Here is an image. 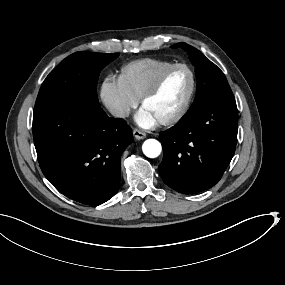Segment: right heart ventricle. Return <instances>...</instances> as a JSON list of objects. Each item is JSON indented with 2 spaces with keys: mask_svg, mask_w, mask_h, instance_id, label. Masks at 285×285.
<instances>
[{
  "mask_svg": "<svg viewBox=\"0 0 285 285\" xmlns=\"http://www.w3.org/2000/svg\"><path fill=\"white\" fill-rule=\"evenodd\" d=\"M134 76L132 82V92L139 98L141 95L151 88L160 76L172 68V65L153 58H145L133 64Z\"/></svg>",
  "mask_w": 285,
  "mask_h": 285,
  "instance_id": "1",
  "label": "right heart ventricle"
}]
</instances>
